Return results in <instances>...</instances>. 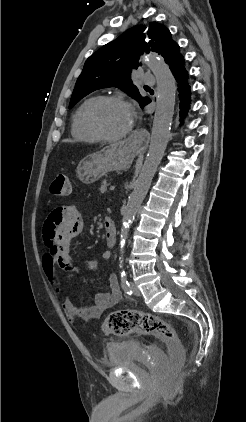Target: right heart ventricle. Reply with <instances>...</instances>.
<instances>
[{
	"label": "right heart ventricle",
	"mask_w": 246,
	"mask_h": 422,
	"mask_svg": "<svg viewBox=\"0 0 246 422\" xmlns=\"http://www.w3.org/2000/svg\"><path fill=\"white\" fill-rule=\"evenodd\" d=\"M98 97L86 99L74 112L71 123L72 136L81 142L95 143L99 140L90 132L85 122V113L89 105Z\"/></svg>",
	"instance_id": "e07e8e85"
}]
</instances>
